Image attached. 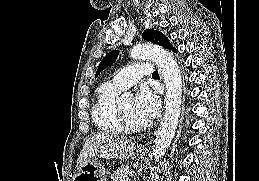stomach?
Listing matches in <instances>:
<instances>
[{"instance_id": "obj_1", "label": "stomach", "mask_w": 259, "mask_h": 181, "mask_svg": "<svg viewBox=\"0 0 259 181\" xmlns=\"http://www.w3.org/2000/svg\"><path fill=\"white\" fill-rule=\"evenodd\" d=\"M141 158H145L146 152H139ZM107 170L96 159L89 160L82 165L73 176L72 181H106Z\"/></svg>"}]
</instances>
